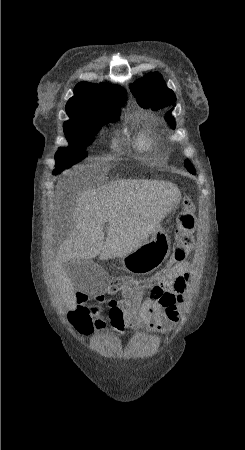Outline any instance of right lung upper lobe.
<instances>
[{
	"label": "right lung upper lobe",
	"mask_w": 245,
	"mask_h": 450,
	"mask_svg": "<svg viewBox=\"0 0 245 450\" xmlns=\"http://www.w3.org/2000/svg\"><path fill=\"white\" fill-rule=\"evenodd\" d=\"M124 100L125 91L119 86L80 82L75 86L74 96L66 104V112L69 116H74L78 112L96 105L120 108Z\"/></svg>",
	"instance_id": "cb5924a9"
}]
</instances>
